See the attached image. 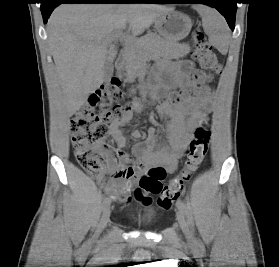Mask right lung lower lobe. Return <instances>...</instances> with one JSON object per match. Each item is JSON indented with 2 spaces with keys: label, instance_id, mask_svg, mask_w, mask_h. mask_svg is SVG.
Wrapping results in <instances>:
<instances>
[{
  "label": "right lung lower lobe",
  "instance_id": "98d812e1",
  "mask_svg": "<svg viewBox=\"0 0 279 267\" xmlns=\"http://www.w3.org/2000/svg\"><path fill=\"white\" fill-rule=\"evenodd\" d=\"M143 0H43L41 12L46 24L52 11L62 3H142Z\"/></svg>",
  "mask_w": 279,
  "mask_h": 267
}]
</instances>
